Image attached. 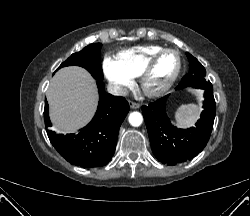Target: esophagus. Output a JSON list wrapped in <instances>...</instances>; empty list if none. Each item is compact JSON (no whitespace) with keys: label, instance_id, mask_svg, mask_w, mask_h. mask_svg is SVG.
Returning a JSON list of instances; mask_svg holds the SVG:
<instances>
[{"label":"esophagus","instance_id":"obj_1","mask_svg":"<svg viewBox=\"0 0 250 216\" xmlns=\"http://www.w3.org/2000/svg\"><path fill=\"white\" fill-rule=\"evenodd\" d=\"M129 105L132 109H138L140 107L139 103L133 102V101H129Z\"/></svg>","mask_w":250,"mask_h":216}]
</instances>
